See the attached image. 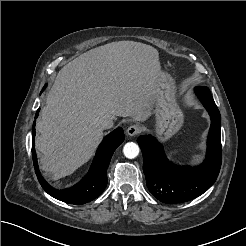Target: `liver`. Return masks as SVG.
Segmentation results:
<instances>
[{"instance_id":"6515ba94","label":"liver","mask_w":246,"mask_h":246,"mask_svg":"<svg viewBox=\"0 0 246 246\" xmlns=\"http://www.w3.org/2000/svg\"><path fill=\"white\" fill-rule=\"evenodd\" d=\"M160 76L158 51L134 41L93 48L66 64L36 125L41 169L59 179L86 163L103 138V118L144 121Z\"/></svg>"}]
</instances>
